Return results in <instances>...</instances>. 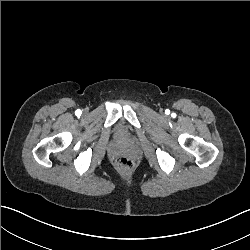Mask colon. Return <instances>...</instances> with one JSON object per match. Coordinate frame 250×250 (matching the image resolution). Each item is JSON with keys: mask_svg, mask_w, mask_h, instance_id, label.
<instances>
[{"mask_svg": "<svg viewBox=\"0 0 250 250\" xmlns=\"http://www.w3.org/2000/svg\"><path fill=\"white\" fill-rule=\"evenodd\" d=\"M115 165L120 171L126 173H131L136 168L135 161L125 155L118 156L115 160Z\"/></svg>", "mask_w": 250, "mask_h": 250, "instance_id": "obj_1", "label": "colon"}]
</instances>
